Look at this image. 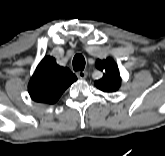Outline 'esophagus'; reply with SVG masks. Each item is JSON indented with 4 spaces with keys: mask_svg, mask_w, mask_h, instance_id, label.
Segmentation results:
<instances>
[{
    "mask_svg": "<svg viewBox=\"0 0 165 156\" xmlns=\"http://www.w3.org/2000/svg\"><path fill=\"white\" fill-rule=\"evenodd\" d=\"M76 75L79 79H85L87 77V72L86 71H78L76 73Z\"/></svg>",
    "mask_w": 165,
    "mask_h": 156,
    "instance_id": "34e87169",
    "label": "esophagus"
}]
</instances>
